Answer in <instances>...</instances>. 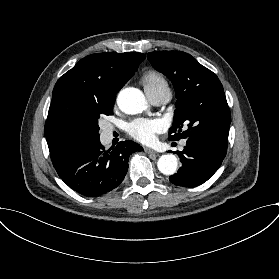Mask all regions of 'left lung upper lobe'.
<instances>
[{"instance_id":"obj_1","label":"left lung upper lobe","mask_w":279,"mask_h":279,"mask_svg":"<svg viewBox=\"0 0 279 279\" xmlns=\"http://www.w3.org/2000/svg\"><path fill=\"white\" fill-rule=\"evenodd\" d=\"M147 57L175 89L169 140L212 138L228 143L231 114L216 74L182 51H155Z\"/></svg>"}]
</instances>
